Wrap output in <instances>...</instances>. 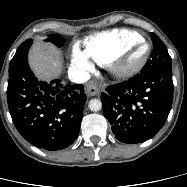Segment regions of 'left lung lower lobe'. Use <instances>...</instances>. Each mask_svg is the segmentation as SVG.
<instances>
[{
    "label": "left lung lower lobe",
    "mask_w": 187,
    "mask_h": 187,
    "mask_svg": "<svg viewBox=\"0 0 187 187\" xmlns=\"http://www.w3.org/2000/svg\"><path fill=\"white\" fill-rule=\"evenodd\" d=\"M103 113L115 137L141 143L165 124L173 101L172 70L140 72L101 93Z\"/></svg>",
    "instance_id": "0a47b994"
}]
</instances>
